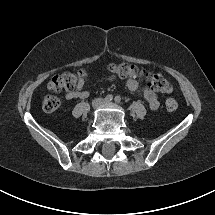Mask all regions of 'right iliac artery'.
Masks as SVG:
<instances>
[{"instance_id": "1", "label": "right iliac artery", "mask_w": 215, "mask_h": 215, "mask_svg": "<svg viewBox=\"0 0 215 215\" xmlns=\"http://www.w3.org/2000/svg\"><path fill=\"white\" fill-rule=\"evenodd\" d=\"M113 99V96L111 94H108L106 97H105V100L106 101H111Z\"/></svg>"}]
</instances>
